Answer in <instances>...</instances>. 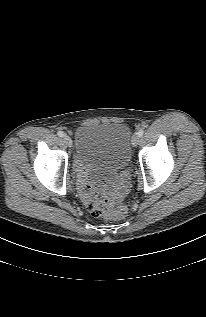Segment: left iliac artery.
<instances>
[{
  "mask_svg": "<svg viewBox=\"0 0 206 317\" xmlns=\"http://www.w3.org/2000/svg\"><path fill=\"white\" fill-rule=\"evenodd\" d=\"M138 134H139V136H142V135L144 134V129H140V130L138 131Z\"/></svg>",
  "mask_w": 206,
  "mask_h": 317,
  "instance_id": "obj_1",
  "label": "left iliac artery"
}]
</instances>
